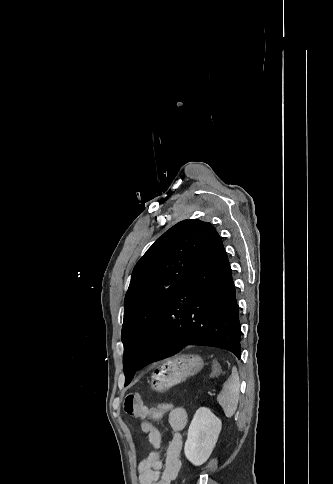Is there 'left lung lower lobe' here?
<instances>
[{"instance_id": "left-lung-lower-lobe-1", "label": "left lung lower lobe", "mask_w": 333, "mask_h": 484, "mask_svg": "<svg viewBox=\"0 0 333 484\" xmlns=\"http://www.w3.org/2000/svg\"><path fill=\"white\" fill-rule=\"evenodd\" d=\"M240 335L231 268L222 240L211 226L164 303L140 365L171 357L191 345L226 349L239 358Z\"/></svg>"}]
</instances>
